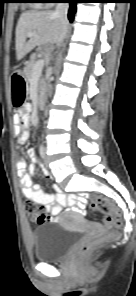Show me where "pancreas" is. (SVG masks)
I'll list each match as a JSON object with an SVG mask.
<instances>
[{"mask_svg": "<svg viewBox=\"0 0 136 296\" xmlns=\"http://www.w3.org/2000/svg\"><path fill=\"white\" fill-rule=\"evenodd\" d=\"M36 64L35 59H31L28 63H26V67L24 69V73L28 82L32 81L33 78V68ZM43 90V82L41 80V76L38 77V91L41 92Z\"/></svg>", "mask_w": 136, "mask_h": 296, "instance_id": "pancreas-1", "label": "pancreas"}]
</instances>
